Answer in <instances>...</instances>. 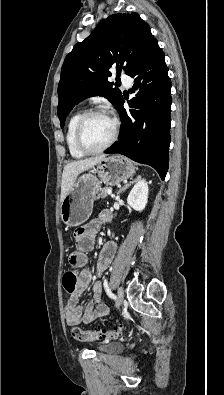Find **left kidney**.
Returning <instances> with one entry per match:
<instances>
[{
	"label": "left kidney",
	"instance_id": "1",
	"mask_svg": "<svg viewBox=\"0 0 224 395\" xmlns=\"http://www.w3.org/2000/svg\"><path fill=\"white\" fill-rule=\"evenodd\" d=\"M148 191L147 181L139 178L127 197V203L134 210L141 212L147 204Z\"/></svg>",
	"mask_w": 224,
	"mask_h": 395
}]
</instances>
